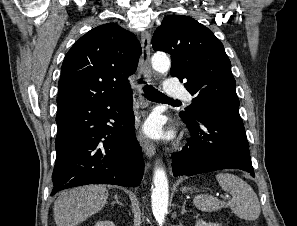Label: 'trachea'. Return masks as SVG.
Instances as JSON below:
<instances>
[{
  "label": "trachea",
  "instance_id": "1",
  "mask_svg": "<svg viewBox=\"0 0 297 226\" xmlns=\"http://www.w3.org/2000/svg\"><path fill=\"white\" fill-rule=\"evenodd\" d=\"M142 82V81H140ZM144 90V95L149 99L153 101H160V102H175V103H180L179 100H173L168 97H166L162 92L158 91L154 87L150 85H145L143 87Z\"/></svg>",
  "mask_w": 297,
  "mask_h": 226
}]
</instances>
